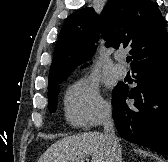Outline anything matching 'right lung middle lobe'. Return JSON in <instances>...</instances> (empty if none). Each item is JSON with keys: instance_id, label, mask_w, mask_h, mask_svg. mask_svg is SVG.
I'll return each instance as SVG.
<instances>
[{"instance_id": "1", "label": "right lung middle lobe", "mask_w": 168, "mask_h": 162, "mask_svg": "<svg viewBox=\"0 0 168 162\" xmlns=\"http://www.w3.org/2000/svg\"><path fill=\"white\" fill-rule=\"evenodd\" d=\"M61 81H57L54 82L50 85H48V106H49V110L50 112H55L56 108H57V100H58V94H59V84L62 82ZM116 91V87L113 91V95Z\"/></svg>"}]
</instances>
